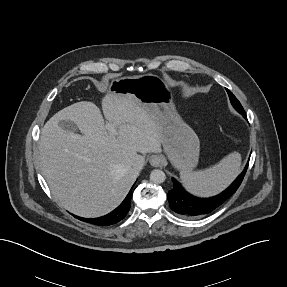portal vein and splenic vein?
I'll use <instances>...</instances> for the list:
<instances>
[{
    "mask_svg": "<svg viewBox=\"0 0 287 287\" xmlns=\"http://www.w3.org/2000/svg\"><path fill=\"white\" fill-rule=\"evenodd\" d=\"M106 128L110 131L111 134L113 135H117V130L115 129V127L112 124H107Z\"/></svg>",
    "mask_w": 287,
    "mask_h": 287,
    "instance_id": "18ae733b",
    "label": "portal vein and splenic vein"
}]
</instances>
